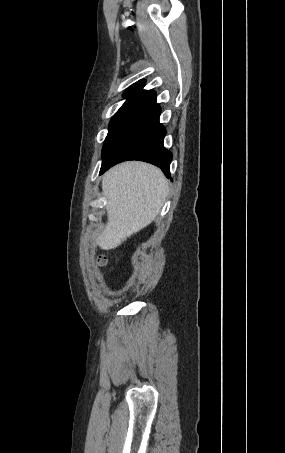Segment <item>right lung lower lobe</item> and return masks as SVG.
I'll list each match as a JSON object with an SVG mask.
<instances>
[{"label":"right lung lower lobe","mask_w":285,"mask_h":453,"mask_svg":"<svg viewBox=\"0 0 285 453\" xmlns=\"http://www.w3.org/2000/svg\"><path fill=\"white\" fill-rule=\"evenodd\" d=\"M160 113L153 90L141 89L126 100L109 125L100 174L117 163L141 160L158 166L170 178L172 153L163 146L166 129L159 122Z\"/></svg>","instance_id":"1"}]
</instances>
